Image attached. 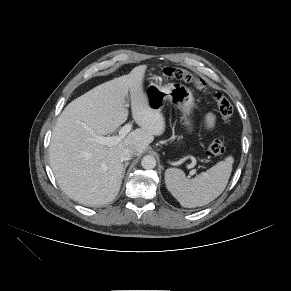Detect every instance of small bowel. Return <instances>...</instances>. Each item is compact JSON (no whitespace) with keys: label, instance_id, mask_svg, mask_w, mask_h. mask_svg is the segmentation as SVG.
Here are the masks:
<instances>
[{"label":"small bowel","instance_id":"1","mask_svg":"<svg viewBox=\"0 0 291 291\" xmlns=\"http://www.w3.org/2000/svg\"><path fill=\"white\" fill-rule=\"evenodd\" d=\"M215 125V120L212 116H208L207 120H206V126L211 129L213 128Z\"/></svg>","mask_w":291,"mask_h":291}]
</instances>
